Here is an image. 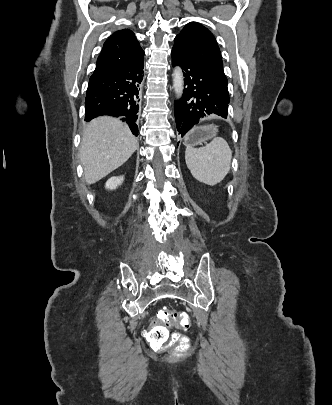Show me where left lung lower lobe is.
I'll return each instance as SVG.
<instances>
[{"label": "left lung lower lobe", "instance_id": "obj_1", "mask_svg": "<svg viewBox=\"0 0 332 405\" xmlns=\"http://www.w3.org/2000/svg\"><path fill=\"white\" fill-rule=\"evenodd\" d=\"M172 65L183 69V97L174 104L177 130L183 137L195 124L210 115L227 118L229 94L221 81L205 66L172 49Z\"/></svg>", "mask_w": 332, "mask_h": 405}]
</instances>
